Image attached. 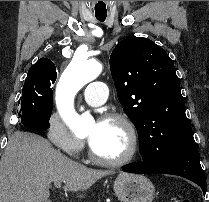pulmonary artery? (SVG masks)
Listing matches in <instances>:
<instances>
[{"mask_svg": "<svg viewBox=\"0 0 209 202\" xmlns=\"http://www.w3.org/2000/svg\"><path fill=\"white\" fill-rule=\"evenodd\" d=\"M109 85L102 81H93L84 90V98L91 106H101L107 98Z\"/></svg>", "mask_w": 209, "mask_h": 202, "instance_id": "1", "label": "pulmonary artery"}]
</instances>
